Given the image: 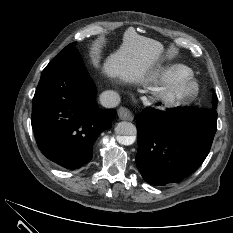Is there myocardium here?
<instances>
[{
    "mask_svg": "<svg viewBox=\"0 0 233 233\" xmlns=\"http://www.w3.org/2000/svg\"><path fill=\"white\" fill-rule=\"evenodd\" d=\"M199 91V84L189 77L157 89L154 99L163 107L175 109L192 103Z\"/></svg>",
    "mask_w": 233,
    "mask_h": 233,
    "instance_id": "1",
    "label": "myocardium"
}]
</instances>
